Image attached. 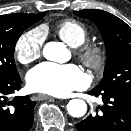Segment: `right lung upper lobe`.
<instances>
[{"mask_svg":"<svg viewBox=\"0 0 131 131\" xmlns=\"http://www.w3.org/2000/svg\"><path fill=\"white\" fill-rule=\"evenodd\" d=\"M44 13L40 14H24V13H17V14H9V16H15V17H23V18H40L43 16Z\"/></svg>","mask_w":131,"mask_h":131,"instance_id":"cb5924a9","label":"right lung upper lobe"}]
</instances>
